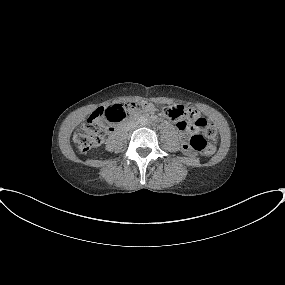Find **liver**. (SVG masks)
Here are the masks:
<instances>
[{
    "label": "liver",
    "instance_id": "6515ba94",
    "mask_svg": "<svg viewBox=\"0 0 285 285\" xmlns=\"http://www.w3.org/2000/svg\"><path fill=\"white\" fill-rule=\"evenodd\" d=\"M73 140H74V142L77 141V135L76 134L74 135Z\"/></svg>",
    "mask_w": 285,
    "mask_h": 285
}]
</instances>
